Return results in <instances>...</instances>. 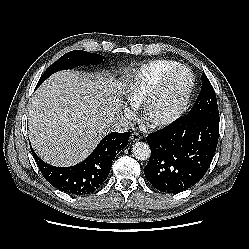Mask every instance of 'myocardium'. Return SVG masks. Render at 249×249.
Wrapping results in <instances>:
<instances>
[{
	"label": "myocardium",
	"mask_w": 249,
	"mask_h": 249,
	"mask_svg": "<svg viewBox=\"0 0 249 249\" xmlns=\"http://www.w3.org/2000/svg\"><path fill=\"white\" fill-rule=\"evenodd\" d=\"M180 70L189 73V83L175 103L169 110L161 112L160 107L163 103L167 89L172 77ZM195 86V75L192 69L184 64H178L168 70L160 79L158 85L143 104V118L145 122L155 128L166 127L178 120L186 111Z\"/></svg>",
	"instance_id": "myocardium-1"
}]
</instances>
